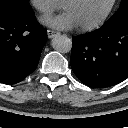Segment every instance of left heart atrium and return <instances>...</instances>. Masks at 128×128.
<instances>
[{
  "mask_svg": "<svg viewBox=\"0 0 128 128\" xmlns=\"http://www.w3.org/2000/svg\"><path fill=\"white\" fill-rule=\"evenodd\" d=\"M41 21L43 24L58 30H69L78 26L73 15L67 10L56 15L46 16Z\"/></svg>",
  "mask_w": 128,
  "mask_h": 128,
  "instance_id": "1",
  "label": "left heart atrium"
}]
</instances>
